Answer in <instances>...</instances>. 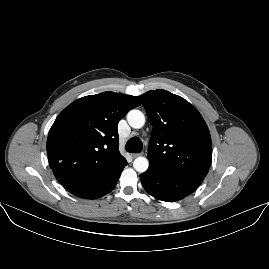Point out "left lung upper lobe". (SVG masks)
I'll list each match as a JSON object with an SVG mask.
<instances>
[{
	"mask_svg": "<svg viewBox=\"0 0 269 269\" xmlns=\"http://www.w3.org/2000/svg\"><path fill=\"white\" fill-rule=\"evenodd\" d=\"M137 98L153 126L148 147L150 167L203 180L212 160V142L198 110L163 89Z\"/></svg>",
	"mask_w": 269,
	"mask_h": 269,
	"instance_id": "left-lung-upper-lobe-1",
	"label": "left lung upper lobe"
}]
</instances>
